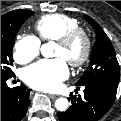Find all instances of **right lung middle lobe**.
Listing matches in <instances>:
<instances>
[{
    "label": "right lung middle lobe",
    "instance_id": "1",
    "mask_svg": "<svg viewBox=\"0 0 121 121\" xmlns=\"http://www.w3.org/2000/svg\"><path fill=\"white\" fill-rule=\"evenodd\" d=\"M34 14L30 10H20L7 19L1 20V76L14 75L11 70L12 48L21 25Z\"/></svg>",
    "mask_w": 121,
    "mask_h": 121
}]
</instances>
